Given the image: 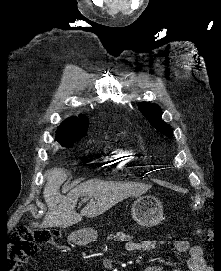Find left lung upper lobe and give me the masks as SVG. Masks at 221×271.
Masks as SVG:
<instances>
[{"instance_id":"1","label":"left lung upper lobe","mask_w":221,"mask_h":271,"mask_svg":"<svg viewBox=\"0 0 221 271\" xmlns=\"http://www.w3.org/2000/svg\"><path fill=\"white\" fill-rule=\"evenodd\" d=\"M139 109L156 130L167 136L172 134L171 127L161 119L162 112L158 105L142 102Z\"/></svg>"}]
</instances>
